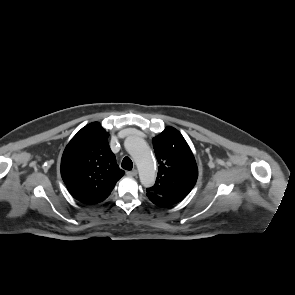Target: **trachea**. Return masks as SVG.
I'll list each match as a JSON object with an SVG mask.
<instances>
[{"label":"trachea","instance_id":"1","mask_svg":"<svg viewBox=\"0 0 295 295\" xmlns=\"http://www.w3.org/2000/svg\"><path fill=\"white\" fill-rule=\"evenodd\" d=\"M121 167L125 170H132L133 168V162L129 157H124V159L122 160V164Z\"/></svg>","mask_w":295,"mask_h":295}]
</instances>
